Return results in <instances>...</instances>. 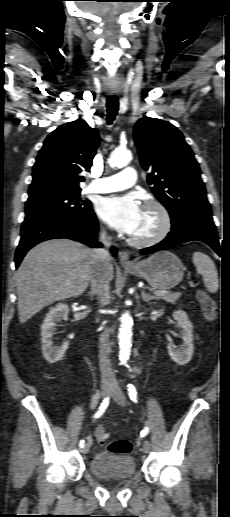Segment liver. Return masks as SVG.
Wrapping results in <instances>:
<instances>
[{
    "mask_svg": "<svg viewBox=\"0 0 230 517\" xmlns=\"http://www.w3.org/2000/svg\"><path fill=\"white\" fill-rule=\"evenodd\" d=\"M98 263L95 250L68 239L33 247L15 274L20 323L55 301L81 295ZM108 274L112 280L111 263Z\"/></svg>",
    "mask_w": 230,
    "mask_h": 517,
    "instance_id": "liver-1",
    "label": "liver"
}]
</instances>
